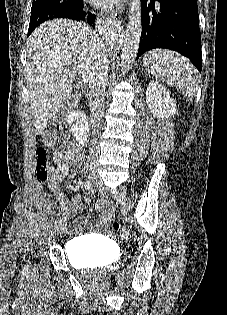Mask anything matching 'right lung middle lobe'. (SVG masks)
<instances>
[{"label": "right lung middle lobe", "mask_w": 227, "mask_h": 315, "mask_svg": "<svg viewBox=\"0 0 227 315\" xmlns=\"http://www.w3.org/2000/svg\"><path fill=\"white\" fill-rule=\"evenodd\" d=\"M80 0H33L28 35L41 23L53 18H64L69 8Z\"/></svg>", "instance_id": "1"}]
</instances>
